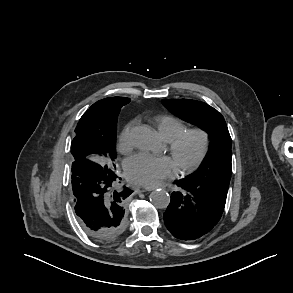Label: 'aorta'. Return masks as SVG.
Wrapping results in <instances>:
<instances>
[{
	"label": "aorta",
	"instance_id": "aorta-1",
	"mask_svg": "<svg viewBox=\"0 0 293 293\" xmlns=\"http://www.w3.org/2000/svg\"><path fill=\"white\" fill-rule=\"evenodd\" d=\"M154 133L145 126L138 127L133 132V144L140 150L149 152L155 146ZM150 202L159 209L167 208L170 203L169 194L162 189L155 190L150 194Z\"/></svg>",
	"mask_w": 293,
	"mask_h": 293
}]
</instances>
